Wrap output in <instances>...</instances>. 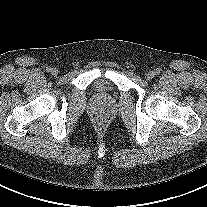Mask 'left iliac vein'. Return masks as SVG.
I'll return each instance as SVG.
<instances>
[{
  "instance_id": "obj_1",
  "label": "left iliac vein",
  "mask_w": 207,
  "mask_h": 207,
  "mask_svg": "<svg viewBox=\"0 0 207 207\" xmlns=\"http://www.w3.org/2000/svg\"><path fill=\"white\" fill-rule=\"evenodd\" d=\"M154 75L155 73L153 71H149L147 74H146V77L148 80H151L154 78Z\"/></svg>"
}]
</instances>
